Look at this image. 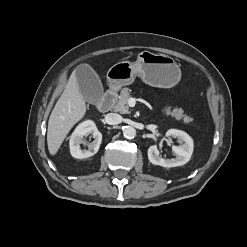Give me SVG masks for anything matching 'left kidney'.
Segmentation results:
<instances>
[{
	"mask_svg": "<svg viewBox=\"0 0 247 247\" xmlns=\"http://www.w3.org/2000/svg\"><path fill=\"white\" fill-rule=\"evenodd\" d=\"M166 137L171 140V137L177 138L179 146H173L172 150L176 154L175 158L163 159L159 156L157 145H152L148 148V159L154 165L170 168L186 164L193 153V140L184 131L170 129L166 132Z\"/></svg>",
	"mask_w": 247,
	"mask_h": 247,
	"instance_id": "5707ae66",
	"label": "left kidney"
}]
</instances>
